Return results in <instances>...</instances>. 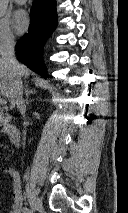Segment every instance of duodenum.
<instances>
[{
  "mask_svg": "<svg viewBox=\"0 0 128 213\" xmlns=\"http://www.w3.org/2000/svg\"><path fill=\"white\" fill-rule=\"evenodd\" d=\"M0 121L4 124L6 133L11 142L17 145L20 141V130L12 123L11 117L8 114L0 112Z\"/></svg>",
  "mask_w": 128,
  "mask_h": 213,
  "instance_id": "obj_1",
  "label": "duodenum"
}]
</instances>
